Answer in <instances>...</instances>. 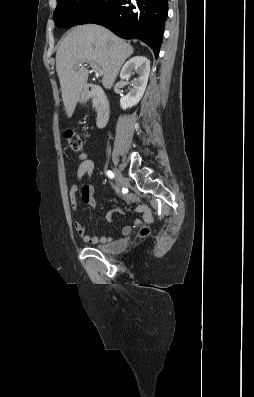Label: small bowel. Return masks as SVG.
Listing matches in <instances>:
<instances>
[{"label":"small bowel","instance_id":"c3829d8e","mask_svg":"<svg viewBox=\"0 0 254 397\" xmlns=\"http://www.w3.org/2000/svg\"><path fill=\"white\" fill-rule=\"evenodd\" d=\"M79 166L77 168L76 171V179L78 182H81L83 179H86L82 189H81V198L82 201L91 206L92 208L95 207L96 202L95 199L93 197V193H94V187L91 183V177L94 171V162L88 158L86 153H81L79 155ZM79 191V185L75 184L71 187L70 190V197H71V204H72V208L76 209L77 207V202H76V194ZM125 200L129 203H134L136 200L133 196L131 195H126L125 196ZM135 210L137 212H140L143 214V220L142 219H135L133 222L134 226H139L142 224V222H151L152 221V214H151V210L145 206V205H137ZM106 219L109 222H112V214L111 212H108L106 215ZM74 228L77 232V234L79 235V237L82 238V240L86 243H90V244H106V243H110L113 238L110 236H98V235H89L87 234L86 231V227L79 221H76L74 223ZM131 231V227L130 226H125L122 230L123 234L127 235L129 234Z\"/></svg>","mask_w":254,"mask_h":397}]
</instances>
